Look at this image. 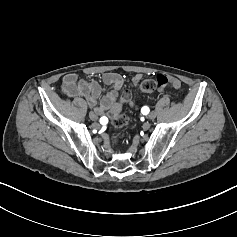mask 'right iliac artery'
Segmentation results:
<instances>
[{
	"instance_id": "82829eb1",
	"label": "right iliac artery",
	"mask_w": 237,
	"mask_h": 237,
	"mask_svg": "<svg viewBox=\"0 0 237 237\" xmlns=\"http://www.w3.org/2000/svg\"><path fill=\"white\" fill-rule=\"evenodd\" d=\"M103 122H108L107 117L103 116L100 118V123H103Z\"/></svg>"
}]
</instances>
